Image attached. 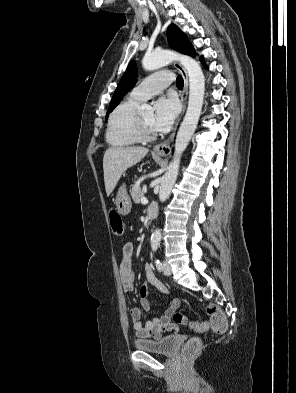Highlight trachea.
<instances>
[{
	"instance_id": "obj_1",
	"label": "trachea",
	"mask_w": 296,
	"mask_h": 393,
	"mask_svg": "<svg viewBox=\"0 0 296 393\" xmlns=\"http://www.w3.org/2000/svg\"><path fill=\"white\" fill-rule=\"evenodd\" d=\"M176 86L179 87V88H182L184 86V81H183L182 77H180V76L177 77V79H176Z\"/></svg>"
}]
</instances>
